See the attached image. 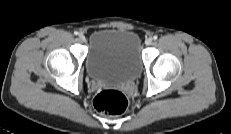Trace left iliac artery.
I'll return each mask as SVG.
<instances>
[{
	"mask_svg": "<svg viewBox=\"0 0 231 134\" xmlns=\"http://www.w3.org/2000/svg\"><path fill=\"white\" fill-rule=\"evenodd\" d=\"M157 38H158V37H157L156 35L153 37L154 40H157Z\"/></svg>",
	"mask_w": 231,
	"mask_h": 134,
	"instance_id": "44dca946",
	"label": "left iliac artery"
}]
</instances>
